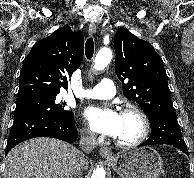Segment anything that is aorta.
Listing matches in <instances>:
<instances>
[{"label": "aorta", "mask_w": 194, "mask_h": 178, "mask_svg": "<svg viewBox=\"0 0 194 178\" xmlns=\"http://www.w3.org/2000/svg\"><path fill=\"white\" fill-rule=\"evenodd\" d=\"M112 59V51L109 48H102L96 55L94 60V69L97 71L103 70ZM106 172L103 167H97L91 178H105Z\"/></svg>", "instance_id": "1"}]
</instances>
